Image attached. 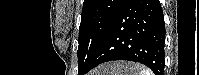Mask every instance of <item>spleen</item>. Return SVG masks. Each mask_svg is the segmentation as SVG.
Wrapping results in <instances>:
<instances>
[{
    "label": "spleen",
    "mask_w": 199,
    "mask_h": 75,
    "mask_svg": "<svg viewBox=\"0 0 199 75\" xmlns=\"http://www.w3.org/2000/svg\"><path fill=\"white\" fill-rule=\"evenodd\" d=\"M135 67L139 69L138 75H154L153 72L148 68L142 67L140 65H136Z\"/></svg>",
    "instance_id": "3e777b00"
}]
</instances>
